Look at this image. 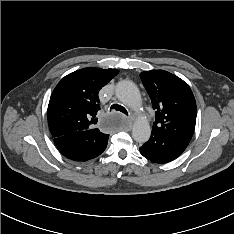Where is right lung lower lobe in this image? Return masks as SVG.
Segmentation results:
<instances>
[{"instance_id": "obj_1", "label": "right lung lower lobe", "mask_w": 234, "mask_h": 234, "mask_svg": "<svg viewBox=\"0 0 234 234\" xmlns=\"http://www.w3.org/2000/svg\"><path fill=\"white\" fill-rule=\"evenodd\" d=\"M108 138L99 129H90L54 138V143L68 159L87 161L104 152Z\"/></svg>"}]
</instances>
